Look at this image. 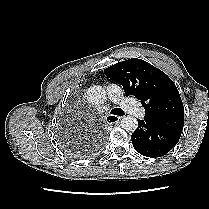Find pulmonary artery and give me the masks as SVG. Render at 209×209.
<instances>
[{
  "label": "pulmonary artery",
  "mask_w": 209,
  "mask_h": 209,
  "mask_svg": "<svg viewBox=\"0 0 209 209\" xmlns=\"http://www.w3.org/2000/svg\"><path fill=\"white\" fill-rule=\"evenodd\" d=\"M106 89L108 98L112 103L117 104L120 108L136 117H142L144 115V109L140 105L123 96L120 86L116 84H110ZM108 108L109 106H104L102 110H106Z\"/></svg>",
  "instance_id": "1"
}]
</instances>
